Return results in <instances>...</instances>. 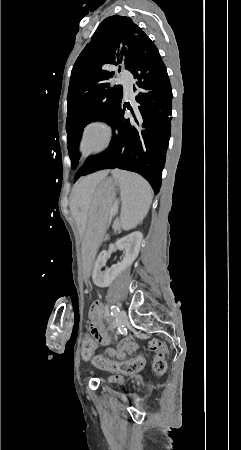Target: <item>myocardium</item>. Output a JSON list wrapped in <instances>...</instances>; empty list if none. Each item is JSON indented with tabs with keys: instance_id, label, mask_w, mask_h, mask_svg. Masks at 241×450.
<instances>
[{
	"instance_id": "1",
	"label": "myocardium",
	"mask_w": 241,
	"mask_h": 450,
	"mask_svg": "<svg viewBox=\"0 0 241 450\" xmlns=\"http://www.w3.org/2000/svg\"><path fill=\"white\" fill-rule=\"evenodd\" d=\"M104 125V124H103ZM101 122H79V127H101ZM80 142H83L84 144L81 145V148H79V152L76 153V162H83L84 157L87 158H94L98 156V149H106L107 145L102 144L103 142L108 141V132L107 130H84V132L81 133ZM91 137L93 139H91ZM78 151V150H77ZM100 151V150H99ZM87 160V159H86Z\"/></svg>"
}]
</instances>
